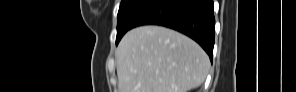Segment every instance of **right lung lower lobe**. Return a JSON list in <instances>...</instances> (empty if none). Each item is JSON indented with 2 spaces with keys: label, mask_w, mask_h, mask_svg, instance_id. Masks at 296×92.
<instances>
[{
  "label": "right lung lower lobe",
  "mask_w": 296,
  "mask_h": 92,
  "mask_svg": "<svg viewBox=\"0 0 296 92\" xmlns=\"http://www.w3.org/2000/svg\"><path fill=\"white\" fill-rule=\"evenodd\" d=\"M150 24L191 37L212 60L215 31L212 0H154L134 20L132 28Z\"/></svg>",
  "instance_id": "right-lung-lower-lobe-1"
}]
</instances>
